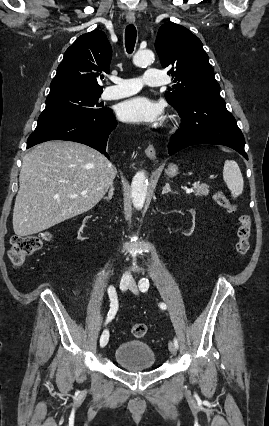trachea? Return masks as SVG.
<instances>
[{"label": "trachea", "mask_w": 269, "mask_h": 426, "mask_svg": "<svg viewBox=\"0 0 269 426\" xmlns=\"http://www.w3.org/2000/svg\"><path fill=\"white\" fill-rule=\"evenodd\" d=\"M136 43V28L130 24L125 29V46L128 53H132Z\"/></svg>", "instance_id": "trachea-1"}]
</instances>
